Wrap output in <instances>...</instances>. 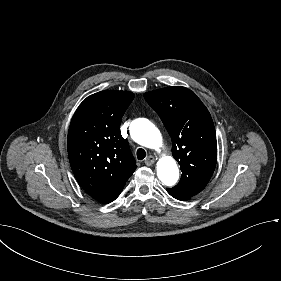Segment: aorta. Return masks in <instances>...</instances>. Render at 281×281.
<instances>
[{"label": "aorta", "instance_id": "aorta-1", "mask_svg": "<svg viewBox=\"0 0 281 281\" xmlns=\"http://www.w3.org/2000/svg\"><path fill=\"white\" fill-rule=\"evenodd\" d=\"M133 139L142 146L159 150L162 136L158 128L147 119H137L131 124ZM157 176L166 186H173L179 179L176 161L170 156H163L157 163Z\"/></svg>", "mask_w": 281, "mask_h": 281}]
</instances>
